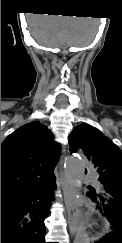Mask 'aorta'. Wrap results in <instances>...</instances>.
<instances>
[{
    "label": "aorta",
    "mask_w": 122,
    "mask_h": 243,
    "mask_svg": "<svg viewBox=\"0 0 122 243\" xmlns=\"http://www.w3.org/2000/svg\"><path fill=\"white\" fill-rule=\"evenodd\" d=\"M85 171L84 162L75 157L68 158L65 162V174L69 185L75 193H78L82 186V179ZM73 243H90L88 234L79 229Z\"/></svg>",
    "instance_id": "1"
}]
</instances>
